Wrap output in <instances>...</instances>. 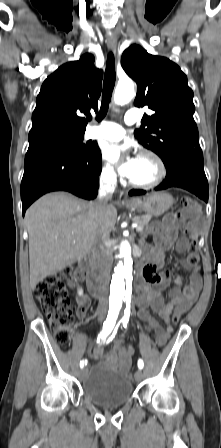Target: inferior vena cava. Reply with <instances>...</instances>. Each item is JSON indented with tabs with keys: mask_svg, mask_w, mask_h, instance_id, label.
<instances>
[{
	"mask_svg": "<svg viewBox=\"0 0 221 448\" xmlns=\"http://www.w3.org/2000/svg\"><path fill=\"white\" fill-rule=\"evenodd\" d=\"M116 182V175L113 172H108L100 181L99 196L94 203L95 209L98 212H103L108 201L112 196V189ZM95 255L100 268V273L103 277V284L101 287L102 297L99 301V311L104 313L107 309V276L110 272L112 262V251L109 246V234H101L97 245L95 246Z\"/></svg>",
	"mask_w": 221,
	"mask_h": 448,
	"instance_id": "inferior-vena-cava-1",
	"label": "inferior vena cava"
}]
</instances>
